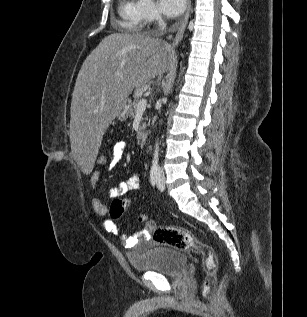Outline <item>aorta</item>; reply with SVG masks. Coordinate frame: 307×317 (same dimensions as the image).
Returning <instances> with one entry per match:
<instances>
[{"instance_id":"762f6f07","label":"aorta","mask_w":307,"mask_h":317,"mask_svg":"<svg viewBox=\"0 0 307 317\" xmlns=\"http://www.w3.org/2000/svg\"><path fill=\"white\" fill-rule=\"evenodd\" d=\"M159 151H160L159 140L157 139V142L155 143V146H154V153H153V160H152V164L153 165H157L158 164Z\"/></svg>"}]
</instances>
